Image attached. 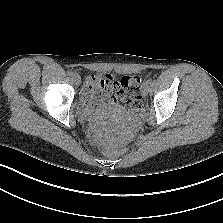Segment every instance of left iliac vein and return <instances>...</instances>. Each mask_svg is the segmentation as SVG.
Instances as JSON below:
<instances>
[{
	"label": "left iliac vein",
	"mask_w": 223,
	"mask_h": 223,
	"mask_svg": "<svg viewBox=\"0 0 223 223\" xmlns=\"http://www.w3.org/2000/svg\"><path fill=\"white\" fill-rule=\"evenodd\" d=\"M149 92V86L147 83H143L142 89H141V94L142 96H146Z\"/></svg>",
	"instance_id": "1"
}]
</instances>
